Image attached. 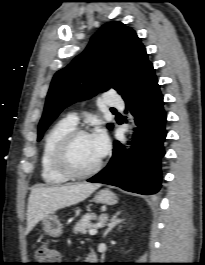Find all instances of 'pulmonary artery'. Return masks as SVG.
Returning <instances> with one entry per match:
<instances>
[{
	"instance_id": "e3ab8cb5",
	"label": "pulmonary artery",
	"mask_w": 205,
	"mask_h": 265,
	"mask_svg": "<svg viewBox=\"0 0 205 265\" xmlns=\"http://www.w3.org/2000/svg\"><path fill=\"white\" fill-rule=\"evenodd\" d=\"M106 104L111 108H119L122 109L124 107L123 99L114 92H109L106 97ZM67 119L71 121L73 124L78 123V116L75 113H71L68 115Z\"/></svg>"
}]
</instances>
